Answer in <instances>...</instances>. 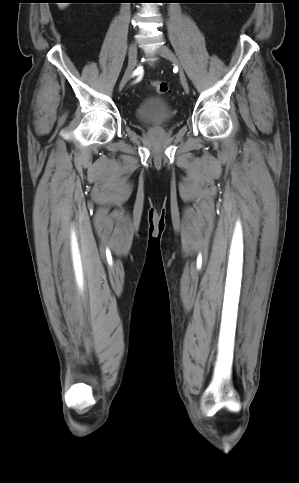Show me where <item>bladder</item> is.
<instances>
[{
	"label": "bladder",
	"mask_w": 299,
	"mask_h": 483,
	"mask_svg": "<svg viewBox=\"0 0 299 483\" xmlns=\"http://www.w3.org/2000/svg\"><path fill=\"white\" fill-rule=\"evenodd\" d=\"M135 115L142 123L163 125L173 118L174 112L165 100L151 97L139 105Z\"/></svg>",
	"instance_id": "31cf9c89"
}]
</instances>
